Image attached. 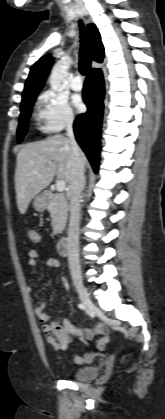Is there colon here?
I'll return each mask as SVG.
<instances>
[{"label": "colon", "instance_id": "1", "mask_svg": "<svg viewBox=\"0 0 165 419\" xmlns=\"http://www.w3.org/2000/svg\"><path fill=\"white\" fill-rule=\"evenodd\" d=\"M28 236H29V239L32 242H38V240H39L38 234H37V232L34 229H29L28 230ZM99 328H100V330L102 332L103 331V327L101 326ZM44 331L49 336H51V337H53V338H55V339H57L59 341L65 340L68 337V335H69L67 329L62 328L58 324H52V325L45 326Z\"/></svg>", "mask_w": 165, "mask_h": 419}]
</instances>
